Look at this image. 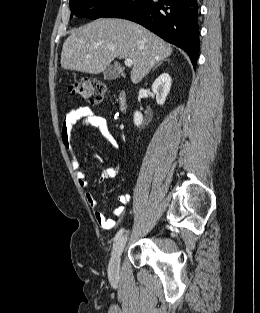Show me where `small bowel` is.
<instances>
[{
  "instance_id": "c3829d8e",
  "label": "small bowel",
  "mask_w": 260,
  "mask_h": 313,
  "mask_svg": "<svg viewBox=\"0 0 260 313\" xmlns=\"http://www.w3.org/2000/svg\"><path fill=\"white\" fill-rule=\"evenodd\" d=\"M111 117L104 114L95 113L88 106H80L70 110L62 123L61 140L63 145L72 152L73 137L75 133L83 127L97 128L102 137L114 148H118V142L109 130ZM71 167L74 171L76 180L80 187L84 190L88 205L91 207L96 222L104 229L110 230L116 226L118 219L122 218L126 213V205L131 202L130 195L120 196L122 206L113 211V217L108 218L99 208L98 202L90 191L85 173L81 170L80 162L76 157L71 160ZM120 172V165H112L107 167L101 175L102 180L115 178Z\"/></svg>"
}]
</instances>
